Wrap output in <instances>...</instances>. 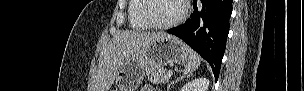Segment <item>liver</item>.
Listing matches in <instances>:
<instances>
[{"label": "liver", "mask_w": 304, "mask_h": 91, "mask_svg": "<svg viewBox=\"0 0 304 91\" xmlns=\"http://www.w3.org/2000/svg\"><path fill=\"white\" fill-rule=\"evenodd\" d=\"M163 32L124 31L115 35L102 51L95 77L94 91H108L118 70L130 57L141 54Z\"/></svg>", "instance_id": "liver-1"}]
</instances>
